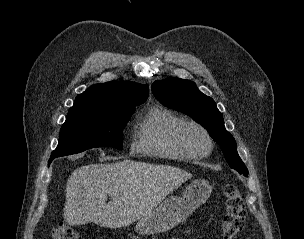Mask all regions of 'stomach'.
Returning a JSON list of instances; mask_svg holds the SVG:
<instances>
[{"instance_id":"1","label":"stomach","mask_w":304,"mask_h":239,"mask_svg":"<svg viewBox=\"0 0 304 239\" xmlns=\"http://www.w3.org/2000/svg\"><path fill=\"white\" fill-rule=\"evenodd\" d=\"M212 187L208 181H193L182 197H168L152 212L141 217L135 231L141 235L165 232L188 218L210 196Z\"/></svg>"}]
</instances>
